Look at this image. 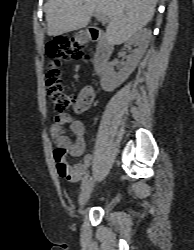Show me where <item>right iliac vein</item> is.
<instances>
[{"label":"right iliac vein","instance_id":"1","mask_svg":"<svg viewBox=\"0 0 194 250\" xmlns=\"http://www.w3.org/2000/svg\"><path fill=\"white\" fill-rule=\"evenodd\" d=\"M94 185H95V178H90V180H88V182L82 189L79 196V205L81 208H83L86 202L88 201Z\"/></svg>","mask_w":194,"mask_h":250}]
</instances>
